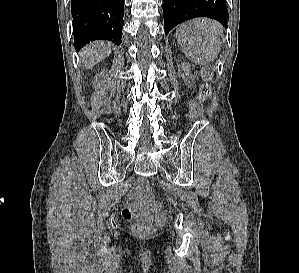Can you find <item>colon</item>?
Listing matches in <instances>:
<instances>
[{"mask_svg":"<svg viewBox=\"0 0 299 273\" xmlns=\"http://www.w3.org/2000/svg\"><path fill=\"white\" fill-rule=\"evenodd\" d=\"M204 78L208 80L211 76V72L209 69L204 70ZM211 95V87L208 83H204L199 91V98L204 100L207 99ZM145 189L147 188V185L145 184L143 186ZM140 205V202L138 199L131 200L128 205L123 209L122 215L125 219L131 220L135 217L138 207ZM158 222H165L167 220V216L163 213H159L157 217ZM133 229L136 233L141 235H147L152 233L155 230V227L146 222H138L133 226Z\"/></svg>","mask_w":299,"mask_h":273,"instance_id":"5ec220e1","label":"colon"}]
</instances>
